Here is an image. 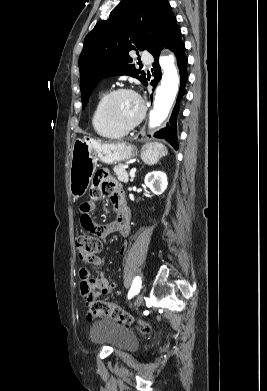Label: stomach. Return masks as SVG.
I'll return each instance as SVG.
<instances>
[{
    "instance_id": "stomach-1",
    "label": "stomach",
    "mask_w": 267,
    "mask_h": 391,
    "mask_svg": "<svg viewBox=\"0 0 267 391\" xmlns=\"http://www.w3.org/2000/svg\"><path fill=\"white\" fill-rule=\"evenodd\" d=\"M136 154L137 149L127 143H103L88 137L75 140L71 152L69 184L72 197L78 199L86 193L98 161L116 164Z\"/></svg>"
}]
</instances>
